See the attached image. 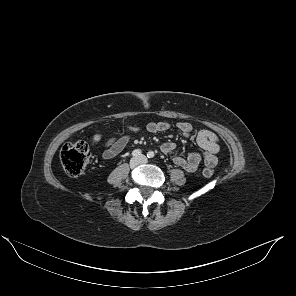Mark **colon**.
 Returning <instances> with one entry per match:
<instances>
[{
    "instance_id": "1",
    "label": "colon",
    "mask_w": 296,
    "mask_h": 296,
    "mask_svg": "<svg viewBox=\"0 0 296 296\" xmlns=\"http://www.w3.org/2000/svg\"><path fill=\"white\" fill-rule=\"evenodd\" d=\"M94 141L99 140V136L93 137ZM90 150L85 141H76L66 143L60 151V161L65 172L71 176L76 177L81 175L89 161ZM214 174V169L211 166H206L203 169L205 177H211Z\"/></svg>"
}]
</instances>
